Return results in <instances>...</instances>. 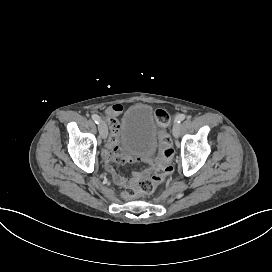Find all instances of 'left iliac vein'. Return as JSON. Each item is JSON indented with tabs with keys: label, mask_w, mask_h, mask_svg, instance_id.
Listing matches in <instances>:
<instances>
[{
	"label": "left iliac vein",
	"mask_w": 272,
	"mask_h": 272,
	"mask_svg": "<svg viewBox=\"0 0 272 272\" xmlns=\"http://www.w3.org/2000/svg\"><path fill=\"white\" fill-rule=\"evenodd\" d=\"M173 136L174 137H178L179 136V125L176 124L174 127H173Z\"/></svg>",
	"instance_id": "1"
}]
</instances>
